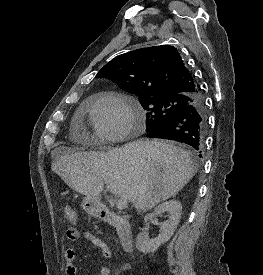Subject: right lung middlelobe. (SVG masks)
I'll list each match as a JSON object with an SVG mask.
<instances>
[{
	"label": "right lung middle lobe",
	"mask_w": 263,
	"mask_h": 275,
	"mask_svg": "<svg viewBox=\"0 0 263 275\" xmlns=\"http://www.w3.org/2000/svg\"><path fill=\"white\" fill-rule=\"evenodd\" d=\"M139 102L147 111L146 131L148 132L182 111L192 103V98L185 95L139 96Z\"/></svg>",
	"instance_id": "1"
}]
</instances>
